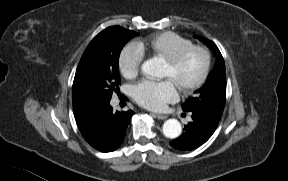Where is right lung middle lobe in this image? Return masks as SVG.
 <instances>
[{"instance_id": "right-lung-middle-lobe-1", "label": "right lung middle lobe", "mask_w": 288, "mask_h": 181, "mask_svg": "<svg viewBox=\"0 0 288 181\" xmlns=\"http://www.w3.org/2000/svg\"><path fill=\"white\" fill-rule=\"evenodd\" d=\"M138 33L112 26L90 42L76 70L73 88L93 100L109 104L119 89V55L123 46Z\"/></svg>"}]
</instances>
